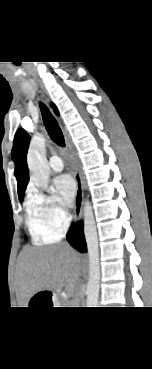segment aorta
<instances>
[{"instance_id":"762f6f07","label":"aorta","mask_w":152,"mask_h":369,"mask_svg":"<svg viewBox=\"0 0 152 369\" xmlns=\"http://www.w3.org/2000/svg\"><path fill=\"white\" fill-rule=\"evenodd\" d=\"M27 164L35 184L47 190L50 169L46 159L45 138L34 136L30 142ZM84 235L89 256V279L87 283V307H97L100 289V264L98 234L91 203L86 200L83 210Z\"/></svg>"}]
</instances>
